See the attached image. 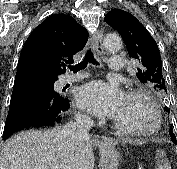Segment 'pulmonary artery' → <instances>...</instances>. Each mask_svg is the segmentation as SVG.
<instances>
[{"mask_svg": "<svg viewBox=\"0 0 177 169\" xmlns=\"http://www.w3.org/2000/svg\"><path fill=\"white\" fill-rule=\"evenodd\" d=\"M123 59L121 57L111 56L108 59V69L111 72H119L123 70ZM84 73H78L76 75L65 76L61 79V84H67L87 77Z\"/></svg>", "mask_w": 177, "mask_h": 169, "instance_id": "obj_1", "label": "pulmonary artery"}]
</instances>
